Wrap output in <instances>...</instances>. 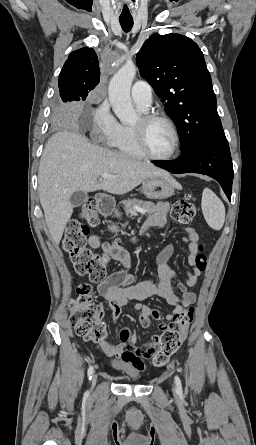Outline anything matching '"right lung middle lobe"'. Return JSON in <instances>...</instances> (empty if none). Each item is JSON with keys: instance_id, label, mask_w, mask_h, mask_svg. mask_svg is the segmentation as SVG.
<instances>
[{"instance_id": "obj_1", "label": "right lung middle lobe", "mask_w": 256, "mask_h": 445, "mask_svg": "<svg viewBox=\"0 0 256 445\" xmlns=\"http://www.w3.org/2000/svg\"><path fill=\"white\" fill-rule=\"evenodd\" d=\"M61 102L59 107L54 111L53 118L56 121L62 122L65 121L69 116V103L71 101H79L80 99L75 98L73 95L69 93H61Z\"/></svg>"}]
</instances>
